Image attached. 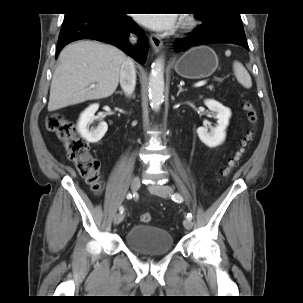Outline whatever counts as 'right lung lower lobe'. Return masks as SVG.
<instances>
[{
  "mask_svg": "<svg viewBox=\"0 0 303 303\" xmlns=\"http://www.w3.org/2000/svg\"><path fill=\"white\" fill-rule=\"evenodd\" d=\"M129 32L139 36L136 47L128 44ZM80 39H94L111 43L139 63H144L147 58L148 39L143 30L125 14L97 9H83L76 13L66 14L58 38L56 58L65 45Z\"/></svg>",
  "mask_w": 303,
  "mask_h": 303,
  "instance_id": "1",
  "label": "right lung lower lobe"
}]
</instances>
